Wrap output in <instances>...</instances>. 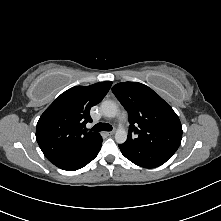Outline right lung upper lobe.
<instances>
[{
	"mask_svg": "<svg viewBox=\"0 0 221 221\" xmlns=\"http://www.w3.org/2000/svg\"><path fill=\"white\" fill-rule=\"evenodd\" d=\"M112 82L75 86L58 96L41 115L36 127L37 142L46 158L64 169L90 149L99 133L83 130L91 122L90 108L105 97Z\"/></svg>",
	"mask_w": 221,
	"mask_h": 221,
	"instance_id": "obj_1",
	"label": "right lung upper lobe"
}]
</instances>
